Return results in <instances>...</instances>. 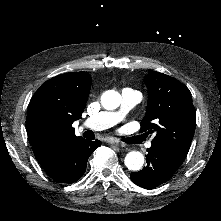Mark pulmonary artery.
Masks as SVG:
<instances>
[{
	"label": "pulmonary artery",
	"instance_id": "e3ab8cb5",
	"mask_svg": "<svg viewBox=\"0 0 221 221\" xmlns=\"http://www.w3.org/2000/svg\"><path fill=\"white\" fill-rule=\"evenodd\" d=\"M139 104V95L135 91H126L122 95V103L118 109L110 112L92 114L88 118V127L92 131L112 129L114 126H121L125 119H131L135 115V107Z\"/></svg>",
	"mask_w": 221,
	"mask_h": 221
}]
</instances>
